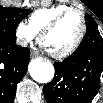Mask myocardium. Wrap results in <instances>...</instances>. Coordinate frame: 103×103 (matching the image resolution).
<instances>
[{
	"mask_svg": "<svg viewBox=\"0 0 103 103\" xmlns=\"http://www.w3.org/2000/svg\"><path fill=\"white\" fill-rule=\"evenodd\" d=\"M71 13H78L81 17V30L79 35L77 36V38L75 39V41L66 49L59 51V52H54V51H50L48 50L49 54L57 59H62V58H66L68 56H70L71 54H73L78 47L80 46V44L82 43L86 31H87V20H86V15L84 13L83 10L79 9V8H73L70 7L66 10H64L63 12H61L60 14H58L56 17H54L41 31V40L43 41L44 38L46 37L47 34H49L53 29H55L58 24L69 14Z\"/></svg>",
	"mask_w": 103,
	"mask_h": 103,
	"instance_id": "myocardium-1",
	"label": "myocardium"
}]
</instances>
